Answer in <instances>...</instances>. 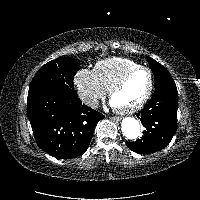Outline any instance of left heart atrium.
Returning a JSON list of instances; mask_svg holds the SVG:
<instances>
[{"label": "left heart atrium", "instance_id": "1", "mask_svg": "<svg viewBox=\"0 0 200 200\" xmlns=\"http://www.w3.org/2000/svg\"><path fill=\"white\" fill-rule=\"evenodd\" d=\"M110 105L113 107V108H116L117 106L115 105V103L111 100L110 101Z\"/></svg>", "mask_w": 200, "mask_h": 200}]
</instances>
